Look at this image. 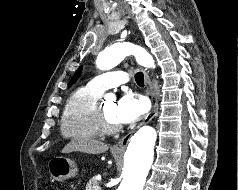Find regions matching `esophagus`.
Returning a JSON list of instances; mask_svg holds the SVG:
<instances>
[{
    "label": "esophagus",
    "mask_w": 238,
    "mask_h": 190,
    "mask_svg": "<svg viewBox=\"0 0 238 190\" xmlns=\"http://www.w3.org/2000/svg\"><path fill=\"white\" fill-rule=\"evenodd\" d=\"M142 71H143V74H144V83H145V86H146V90H147V93L150 96L151 101H152V109L146 115L144 120L137 126L136 129H138L139 127H141L142 125H144L146 123H149L156 116L157 110H158L157 96H156V94L153 90L148 72L145 69H143ZM136 129H134L131 132H129L128 134H126L122 139H120L116 144H114L113 145V150L115 152H118V153L124 152Z\"/></svg>",
    "instance_id": "1"
}]
</instances>
